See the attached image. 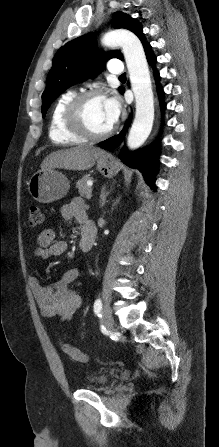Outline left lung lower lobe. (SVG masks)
I'll return each instance as SVG.
<instances>
[{"label": "left lung lower lobe", "instance_id": "left-lung-lower-lobe-1", "mask_svg": "<svg viewBox=\"0 0 219 447\" xmlns=\"http://www.w3.org/2000/svg\"><path fill=\"white\" fill-rule=\"evenodd\" d=\"M141 42L143 44L147 60L153 67L160 104H161V107L164 108V106H165L164 101H163L164 92H163L162 87L159 83V80H160L159 72L154 67V65L156 63V57L153 55V53L151 51L150 44H148L144 38L141 40ZM123 92H124V89L121 91V93H123ZM130 123H131V119H129L127 121V123L123 127L122 131L118 135L113 136V137L101 142L100 146L107 150H111V148H113L114 146L119 144L123 140L125 133H126V129L130 125ZM120 158L123 161V163H125L126 165H128L130 167L138 168L143 173L147 184L152 189H154L153 180H154L157 162H158L157 147H152L151 149H148L145 151H139V152H127L126 149H123L120 154Z\"/></svg>", "mask_w": 219, "mask_h": 447}]
</instances>
